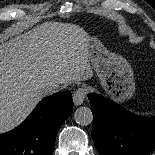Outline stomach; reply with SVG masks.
<instances>
[{"label": "stomach", "instance_id": "stomach-1", "mask_svg": "<svg viewBox=\"0 0 155 155\" xmlns=\"http://www.w3.org/2000/svg\"><path fill=\"white\" fill-rule=\"evenodd\" d=\"M88 57L106 95L118 103L129 100L135 92V82L129 62L110 52L96 37L85 42Z\"/></svg>", "mask_w": 155, "mask_h": 155}]
</instances>
